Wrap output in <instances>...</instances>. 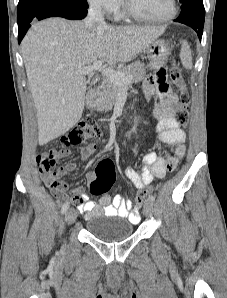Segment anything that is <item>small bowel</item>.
I'll use <instances>...</instances> for the list:
<instances>
[{
  "label": "small bowel",
  "mask_w": 227,
  "mask_h": 298,
  "mask_svg": "<svg viewBox=\"0 0 227 298\" xmlns=\"http://www.w3.org/2000/svg\"><path fill=\"white\" fill-rule=\"evenodd\" d=\"M169 69H157L155 76H149L143 85L145 96L148 100L153 99V116L157 119L155 131L160 144L172 146L174 149L167 158L158 156L155 152H149L143 156V167L141 172L132 167L125 169V176L138 189L147 187L154 178H163L168 171L173 170L186 152V133L176 121L174 114L178 105V97L170 91ZM96 145L90 143L81 150V159L88 160L95 152ZM71 153L69 146H64L61 150H52L47 153L38 154L36 162L44 182L49 185L53 193L64 197L69 192V186L57 178L64 174L73 172L76 169L75 163H68L52 171L55 159L63 158ZM95 174L89 172L87 179L91 181ZM53 182L55 183L53 185ZM72 200L78 204V209L85 213L86 218L95 217L101 214L106 216H119L127 218L132 222L140 219L139 208L133 206L130 200H125L122 196L116 195L111 198L107 194L101 195L99 202L87 199L84 189L78 187L72 191Z\"/></svg>",
  "instance_id": "obj_1"
}]
</instances>
